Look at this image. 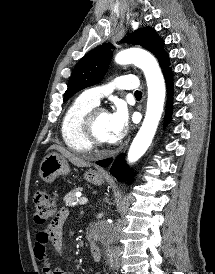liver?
<instances>
[{
  "label": "liver",
  "instance_id": "6515ba94",
  "mask_svg": "<svg viewBox=\"0 0 215 274\" xmlns=\"http://www.w3.org/2000/svg\"><path fill=\"white\" fill-rule=\"evenodd\" d=\"M50 150H57L58 152L61 153L62 156H64L65 158H67L72 164L78 166V167H87L90 166L89 163H87L82 157L77 156L71 152H69L68 150H66L65 148L58 146V145H52L50 148Z\"/></svg>",
  "mask_w": 215,
  "mask_h": 274
}]
</instances>
